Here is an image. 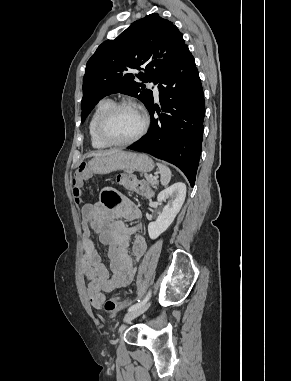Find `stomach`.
Returning <instances> with one entry per match:
<instances>
[{
  "label": "stomach",
  "mask_w": 291,
  "mask_h": 381,
  "mask_svg": "<svg viewBox=\"0 0 291 381\" xmlns=\"http://www.w3.org/2000/svg\"><path fill=\"white\" fill-rule=\"evenodd\" d=\"M153 168L154 163L148 155L126 151L97 156L87 163L88 171L93 174H108L116 170L150 172Z\"/></svg>",
  "instance_id": "stomach-1"
}]
</instances>
